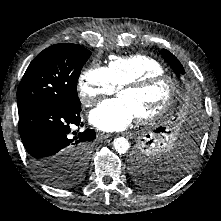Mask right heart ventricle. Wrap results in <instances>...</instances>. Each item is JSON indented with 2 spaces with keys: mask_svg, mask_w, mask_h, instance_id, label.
Instances as JSON below:
<instances>
[{
  "mask_svg": "<svg viewBox=\"0 0 221 221\" xmlns=\"http://www.w3.org/2000/svg\"><path fill=\"white\" fill-rule=\"evenodd\" d=\"M107 70L116 88L147 75L165 72L164 66L159 61L144 54L112 56Z\"/></svg>",
  "mask_w": 221,
  "mask_h": 221,
  "instance_id": "1",
  "label": "right heart ventricle"
}]
</instances>
